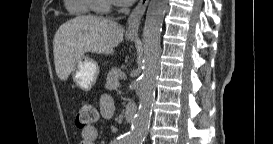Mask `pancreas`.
<instances>
[{
	"mask_svg": "<svg viewBox=\"0 0 273 144\" xmlns=\"http://www.w3.org/2000/svg\"><path fill=\"white\" fill-rule=\"evenodd\" d=\"M120 69L114 67L110 70L106 78V89L116 90L119 87Z\"/></svg>",
	"mask_w": 273,
	"mask_h": 144,
	"instance_id": "1",
	"label": "pancreas"
}]
</instances>
